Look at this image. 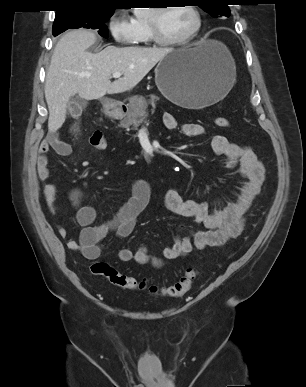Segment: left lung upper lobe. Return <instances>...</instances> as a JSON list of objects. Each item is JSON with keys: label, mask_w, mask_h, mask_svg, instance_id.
Masks as SVG:
<instances>
[{"label": "left lung upper lobe", "mask_w": 306, "mask_h": 387, "mask_svg": "<svg viewBox=\"0 0 306 387\" xmlns=\"http://www.w3.org/2000/svg\"><path fill=\"white\" fill-rule=\"evenodd\" d=\"M228 0H194V2L204 9L212 17H229L230 10L227 5Z\"/></svg>", "instance_id": "5c2ea615"}]
</instances>
